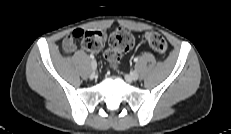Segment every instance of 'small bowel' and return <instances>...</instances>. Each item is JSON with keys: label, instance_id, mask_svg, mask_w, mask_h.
<instances>
[{"label": "small bowel", "instance_id": "obj_1", "mask_svg": "<svg viewBox=\"0 0 231 134\" xmlns=\"http://www.w3.org/2000/svg\"><path fill=\"white\" fill-rule=\"evenodd\" d=\"M76 49L75 39L72 34L68 35L63 41V50L66 54H71Z\"/></svg>", "mask_w": 231, "mask_h": 134}]
</instances>
